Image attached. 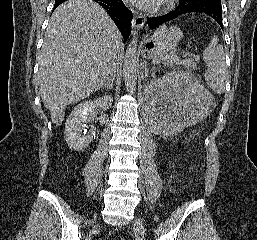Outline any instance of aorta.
<instances>
[{"instance_id":"762f6f07","label":"aorta","mask_w":257,"mask_h":240,"mask_svg":"<svg viewBox=\"0 0 257 240\" xmlns=\"http://www.w3.org/2000/svg\"><path fill=\"white\" fill-rule=\"evenodd\" d=\"M123 78L128 92L134 93L137 84V37L128 46L123 61Z\"/></svg>"}]
</instances>
